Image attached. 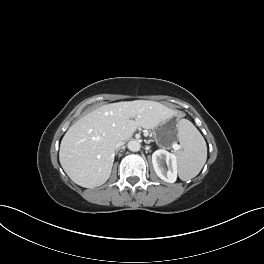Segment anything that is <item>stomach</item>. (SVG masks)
Returning <instances> with one entry per match:
<instances>
[{
  "mask_svg": "<svg viewBox=\"0 0 264 264\" xmlns=\"http://www.w3.org/2000/svg\"><path fill=\"white\" fill-rule=\"evenodd\" d=\"M182 120V115L173 114L165 123L159 125L154 131L155 145L159 149H166L177 141V124Z\"/></svg>",
  "mask_w": 264,
  "mask_h": 264,
  "instance_id": "0dacf381",
  "label": "stomach"
}]
</instances>
